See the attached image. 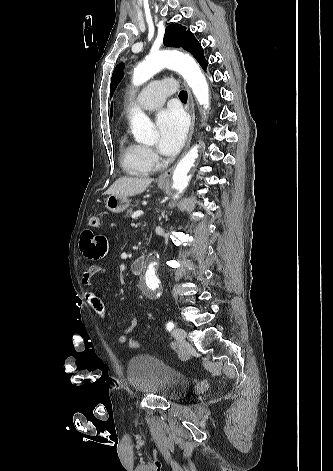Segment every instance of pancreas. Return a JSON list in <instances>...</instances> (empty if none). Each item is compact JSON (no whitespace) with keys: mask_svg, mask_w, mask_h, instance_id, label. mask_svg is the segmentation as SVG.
Listing matches in <instances>:
<instances>
[{"mask_svg":"<svg viewBox=\"0 0 333 471\" xmlns=\"http://www.w3.org/2000/svg\"><path fill=\"white\" fill-rule=\"evenodd\" d=\"M135 206H138V201H135V204H133L132 207L127 210V212H126L127 216L132 214L133 207H135Z\"/></svg>","mask_w":333,"mask_h":471,"instance_id":"obj_1","label":"pancreas"}]
</instances>
